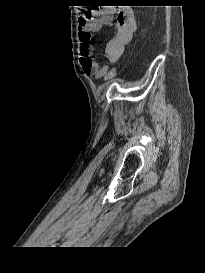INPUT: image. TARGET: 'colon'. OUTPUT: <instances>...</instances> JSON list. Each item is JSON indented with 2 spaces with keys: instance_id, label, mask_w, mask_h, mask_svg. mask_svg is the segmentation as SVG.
<instances>
[{
  "instance_id": "5ec220e1",
  "label": "colon",
  "mask_w": 205,
  "mask_h": 273,
  "mask_svg": "<svg viewBox=\"0 0 205 273\" xmlns=\"http://www.w3.org/2000/svg\"><path fill=\"white\" fill-rule=\"evenodd\" d=\"M116 74H117L116 68L111 69L110 72L107 75V79L108 80H113L116 77Z\"/></svg>"
}]
</instances>
